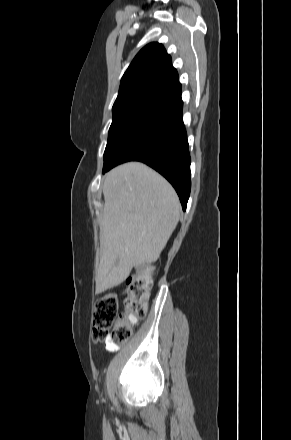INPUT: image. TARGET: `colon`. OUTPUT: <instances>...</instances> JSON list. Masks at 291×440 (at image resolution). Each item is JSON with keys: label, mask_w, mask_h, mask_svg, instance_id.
Listing matches in <instances>:
<instances>
[{"label": "colon", "mask_w": 291, "mask_h": 440, "mask_svg": "<svg viewBox=\"0 0 291 440\" xmlns=\"http://www.w3.org/2000/svg\"><path fill=\"white\" fill-rule=\"evenodd\" d=\"M150 263L143 266L141 271L131 276L121 290L120 296L124 304V319L118 321L119 295L106 294L99 298L92 317V339L95 342L110 341L125 343L132 336L136 323L127 321L130 317L138 320L146 316V301L151 287Z\"/></svg>", "instance_id": "1"}]
</instances>
